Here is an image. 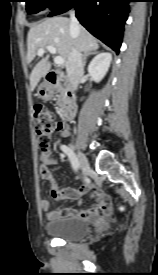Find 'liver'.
<instances>
[{"label": "liver", "instance_id": "1", "mask_svg": "<svg viewBox=\"0 0 158 275\" xmlns=\"http://www.w3.org/2000/svg\"><path fill=\"white\" fill-rule=\"evenodd\" d=\"M51 45L56 52L64 59L67 65L68 57L73 46L80 52L95 51L99 45L84 27L79 26L73 29L70 20L66 17H52L44 19L33 26L27 36V62L30 63L37 55L40 48ZM49 55L42 58L33 68L30 75V86L34 90L40 79L50 70Z\"/></svg>", "mask_w": 158, "mask_h": 275}]
</instances>
